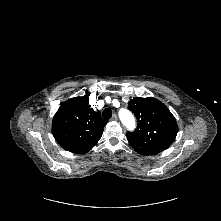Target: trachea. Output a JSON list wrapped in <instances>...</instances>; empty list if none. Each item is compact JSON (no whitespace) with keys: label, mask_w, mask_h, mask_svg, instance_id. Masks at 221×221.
<instances>
[{"label":"trachea","mask_w":221,"mask_h":221,"mask_svg":"<svg viewBox=\"0 0 221 221\" xmlns=\"http://www.w3.org/2000/svg\"><path fill=\"white\" fill-rule=\"evenodd\" d=\"M102 116L104 119L108 120L112 117V110L110 108H106L102 112Z\"/></svg>","instance_id":"trachea-1"}]
</instances>
